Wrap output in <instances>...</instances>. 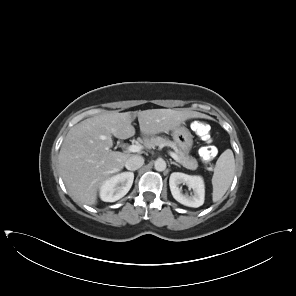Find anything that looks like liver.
<instances>
[{"mask_svg":"<svg viewBox=\"0 0 296 296\" xmlns=\"http://www.w3.org/2000/svg\"><path fill=\"white\" fill-rule=\"evenodd\" d=\"M138 117L140 132L155 135L169 132L190 118H207L189 110L148 109L136 112H108L81 121L67 133L59 153L62 179L75 202L95 205L105 180L120 171L133 155L112 151L111 136L128 139L135 135L132 126Z\"/></svg>","mask_w":296,"mask_h":296,"instance_id":"6515ba94","label":"liver"}]
</instances>
